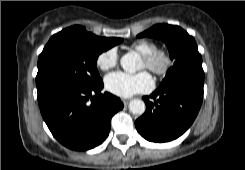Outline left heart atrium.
<instances>
[{"label": "left heart atrium", "instance_id": "left-heart-atrium-1", "mask_svg": "<svg viewBox=\"0 0 245 170\" xmlns=\"http://www.w3.org/2000/svg\"><path fill=\"white\" fill-rule=\"evenodd\" d=\"M154 82L150 74L142 71L135 74L113 72L105 77L106 89L116 96L127 98L137 93L150 91Z\"/></svg>", "mask_w": 245, "mask_h": 170}]
</instances>
